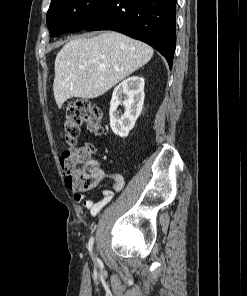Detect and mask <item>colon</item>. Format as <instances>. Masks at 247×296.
I'll use <instances>...</instances> for the list:
<instances>
[{
  "label": "colon",
  "instance_id": "obj_1",
  "mask_svg": "<svg viewBox=\"0 0 247 296\" xmlns=\"http://www.w3.org/2000/svg\"><path fill=\"white\" fill-rule=\"evenodd\" d=\"M83 125L96 134L103 131L102 113L87 99L70 103L63 116V130L69 148L62 152L60 162L66 183L77 191L95 187L102 178L101 169L93 162L95 147L91 144L76 146Z\"/></svg>",
  "mask_w": 247,
  "mask_h": 296
}]
</instances>
